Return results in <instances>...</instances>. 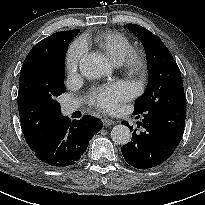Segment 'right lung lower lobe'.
<instances>
[{
    "label": "right lung lower lobe",
    "instance_id": "1",
    "mask_svg": "<svg viewBox=\"0 0 205 205\" xmlns=\"http://www.w3.org/2000/svg\"><path fill=\"white\" fill-rule=\"evenodd\" d=\"M100 120L84 116L73 121L62 116L39 139L31 150L42 162L54 168L76 164L86 151L90 139L100 131Z\"/></svg>",
    "mask_w": 205,
    "mask_h": 205
}]
</instances>
